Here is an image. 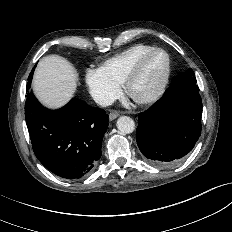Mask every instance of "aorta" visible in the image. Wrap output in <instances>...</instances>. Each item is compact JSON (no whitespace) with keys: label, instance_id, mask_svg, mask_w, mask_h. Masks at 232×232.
I'll list each match as a JSON object with an SVG mask.
<instances>
[{"label":"aorta","instance_id":"1","mask_svg":"<svg viewBox=\"0 0 232 232\" xmlns=\"http://www.w3.org/2000/svg\"><path fill=\"white\" fill-rule=\"evenodd\" d=\"M117 128L124 134L132 133L135 130V123L129 116H121L117 120Z\"/></svg>","mask_w":232,"mask_h":232}]
</instances>
